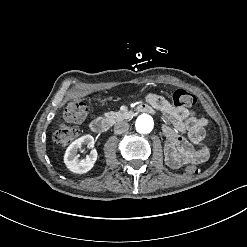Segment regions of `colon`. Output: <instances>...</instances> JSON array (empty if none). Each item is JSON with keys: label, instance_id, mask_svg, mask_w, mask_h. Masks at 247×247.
Instances as JSON below:
<instances>
[{"label": "colon", "instance_id": "5ec220e1", "mask_svg": "<svg viewBox=\"0 0 247 247\" xmlns=\"http://www.w3.org/2000/svg\"><path fill=\"white\" fill-rule=\"evenodd\" d=\"M196 102L197 98L184 89H179L172 94V105L175 108L193 107ZM63 117L65 123L60 124L54 133V141L60 147L70 144L75 138V130L66 122L82 124L87 120L88 108L86 103L78 99L69 100L64 106ZM183 170L185 174H195L198 171L193 165L183 167Z\"/></svg>", "mask_w": 247, "mask_h": 247}]
</instances>
